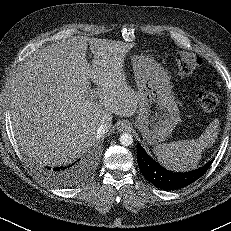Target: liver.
Returning <instances> with one entry per match:
<instances>
[{
  "mask_svg": "<svg viewBox=\"0 0 231 231\" xmlns=\"http://www.w3.org/2000/svg\"><path fill=\"white\" fill-rule=\"evenodd\" d=\"M134 46L75 36L30 55L10 91L11 122L21 151L45 165L68 164L93 146L99 126L111 124L112 114L134 115L137 94L124 72V58Z\"/></svg>",
  "mask_w": 231,
  "mask_h": 231,
  "instance_id": "6515ba94",
  "label": "liver"
}]
</instances>
